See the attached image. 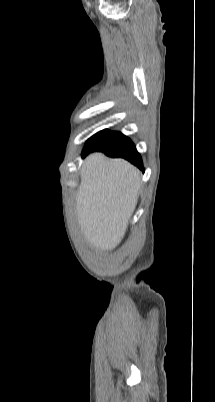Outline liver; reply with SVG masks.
<instances>
[{"instance_id": "6515ba94", "label": "liver", "mask_w": 215, "mask_h": 402, "mask_svg": "<svg viewBox=\"0 0 215 402\" xmlns=\"http://www.w3.org/2000/svg\"><path fill=\"white\" fill-rule=\"evenodd\" d=\"M140 179V171L124 159L93 153L85 160L76 211L81 231L97 250H112L123 239L138 202Z\"/></svg>"}]
</instances>
